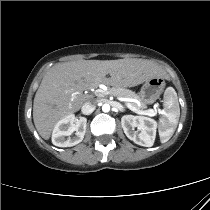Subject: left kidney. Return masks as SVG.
I'll use <instances>...</instances> for the list:
<instances>
[{"label":"left kidney","mask_w":210,"mask_h":210,"mask_svg":"<svg viewBox=\"0 0 210 210\" xmlns=\"http://www.w3.org/2000/svg\"><path fill=\"white\" fill-rule=\"evenodd\" d=\"M121 125L126 136L134 143L144 147L153 146L157 128V122L154 119L144 116L124 115L121 118ZM136 127L137 131H135Z\"/></svg>","instance_id":"5707ae66"}]
</instances>
